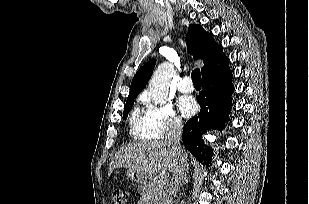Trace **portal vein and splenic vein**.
I'll return each mask as SVG.
<instances>
[{
	"label": "portal vein and splenic vein",
	"mask_w": 309,
	"mask_h": 204,
	"mask_svg": "<svg viewBox=\"0 0 309 204\" xmlns=\"http://www.w3.org/2000/svg\"><path fill=\"white\" fill-rule=\"evenodd\" d=\"M168 181V178L167 177H163L162 178V182L165 184L166 182Z\"/></svg>",
	"instance_id": "18ae733b"
}]
</instances>
